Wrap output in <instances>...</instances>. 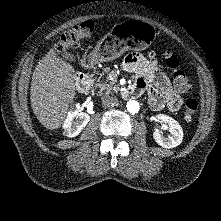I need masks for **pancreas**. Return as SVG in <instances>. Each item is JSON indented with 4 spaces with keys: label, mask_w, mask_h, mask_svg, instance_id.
<instances>
[{
    "label": "pancreas",
    "mask_w": 221,
    "mask_h": 221,
    "mask_svg": "<svg viewBox=\"0 0 221 221\" xmlns=\"http://www.w3.org/2000/svg\"><path fill=\"white\" fill-rule=\"evenodd\" d=\"M109 72V68H104L102 73L100 74L101 77L105 76L107 73ZM89 77H92V75H89ZM95 87L99 88V93L103 94H109L111 91H119L120 87L116 86L114 82H101L100 80H97V82L95 83Z\"/></svg>",
    "instance_id": "cf45deb5"
}]
</instances>
